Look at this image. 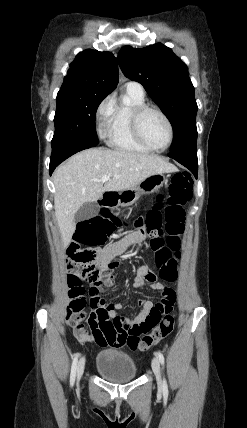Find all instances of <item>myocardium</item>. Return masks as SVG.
Instances as JSON below:
<instances>
[{
    "label": "myocardium",
    "mask_w": 247,
    "mask_h": 428,
    "mask_svg": "<svg viewBox=\"0 0 247 428\" xmlns=\"http://www.w3.org/2000/svg\"><path fill=\"white\" fill-rule=\"evenodd\" d=\"M148 111H154V112L158 113L164 119V121L167 124L168 131H169V137H168L167 143L161 148L153 147L152 145H150L147 142V140L143 136V133L141 130V119H142L143 115ZM130 124H131V129H132L133 135L136 138V140L141 145H143L145 148H147L150 151L163 152V151L167 150L173 142L174 128H173L172 122H171L170 118L167 116V114L163 110H161L160 108H158L156 106L149 105V104H143V105L135 107L131 113Z\"/></svg>",
    "instance_id": "f54148a6"
}]
</instances>
